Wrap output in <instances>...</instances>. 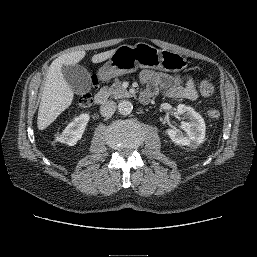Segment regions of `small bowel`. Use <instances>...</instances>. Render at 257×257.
Listing matches in <instances>:
<instances>
[{
	"mask_svg": "<svg viewBox=\"0 0 257 257\" xmlns=\"http://www.w3.org/2000/svg\"><path fill=\"white\" fill-rule=\"evenodd\" d=\"M140 81L144 85L140 97L147 98L148 101L157 96L161 89L169 99L194 100L198 96L195 80L190 76L143 70Z\"/></svg>",
	"mask_w": 257,
	"mask_h": 257,
	"instance_id": "1",
	"label": "small bowel"
}]
</instances>
